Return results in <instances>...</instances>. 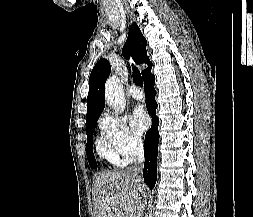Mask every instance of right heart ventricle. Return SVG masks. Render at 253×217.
Segmentation results:
<instances>
[{"label": "right heart ventricle", "mask_w": 253, "mask_h": 217, "mask_svg": "<svg viewBox=\"0 0 253 217\" xmlns=\"http://www.w3.org/2000/svg\"><path fill=\"white\" fill-rule=\"evenodd\" d=\"M96 151L97 154L104 160L115 166H123L125 160L119 155L109 139L101 134L96 139Z\"/></svg>", "instance_id": "e07e8e85"}]
</instances>
